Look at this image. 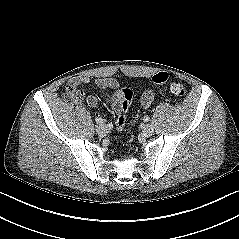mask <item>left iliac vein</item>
Masks as SVG:
<instances>
[{
    "instance_id": "obj_1",
    "label": "left iliac vein",
    "mask_w": 239,
    "mask_h": 239,
    "mask_svg": "<svg viewBox=\"0 0 239 239\" xmlns=\"http://www.w3.org/2000/svg\"><path fill=\"white\" fill-rule=\"evenodd\" d=\"M142 132H143V135H144L145 137H150V136L153 135L154 130H153V128H152L151 125L147 124V125H145V126L143 127Z\"/></svg>"
}]
</instances>
